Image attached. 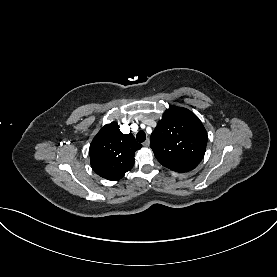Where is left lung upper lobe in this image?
<instances>
[{"label":"left lung upper lobe","mask_w":277,"mask_h":277,"mask_svg":"<svg viewBox=\"0 0 277 277\" xmlns=\"http://www.w3.org/2000/svg\"><path fill=\"white\" fill-rule=\"evenodd\" d=\"M207 139L202 122L193 112L171 106L151 134L150 147L163 166L182 173L201 162Z\"/></svg>","instance_id":"5c2ea615"}]
</instances>
